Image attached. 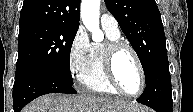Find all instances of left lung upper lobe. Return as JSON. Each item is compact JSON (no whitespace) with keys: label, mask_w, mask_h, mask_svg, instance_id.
<instances>
[{"label":"left lung upper lobe","mask_w":193,"mask_h":112,"mask_svg":"<svg viewBox=\"0 0 193 112\" xmlns=\"http://www.w3.org/2000/svg\"><path fill=\"white\" fill-rule=\"evenodd\" d=\"M142 64L145 81L167 57L166 39L155 0H104Z\"/></svg>","instance_id":"left-lung-upper-lobe-1"}]
</instances>
